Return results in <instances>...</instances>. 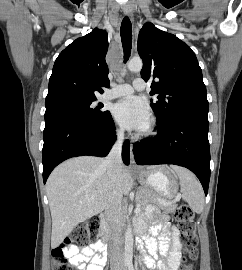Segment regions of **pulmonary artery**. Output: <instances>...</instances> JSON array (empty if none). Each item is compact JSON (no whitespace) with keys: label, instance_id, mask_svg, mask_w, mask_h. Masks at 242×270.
Returning <instances> with one entry per match:
<instances>
[{"label":"pulmonary artery","instance_id":"e3ab8cb5","mask_svg":"<svg viewBox=\"0 0 242 270\" xmlns=\"http://www.w3.org/2000/svg\"><path fill=\"white\" fill-rule=\"evenodd\" d=\"M146 88V83L144 79L137 78L133 81L132 85L129 84H122L115 86L114 88L106 91L103 95L104 99H113L122 96H128L134 92V90H144Z\"/></svg>","mask_w":242,"mask_h":270}]
</instances>
